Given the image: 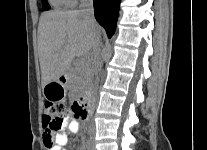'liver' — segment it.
<instances>
[{"label": "liver", "instance_id": "obj_1", "mask_svg": "<svg viewBox=\"0 0 207 150\" xmlns=\"http://www.w3.org/2000/svg\"><path fill=\"white\" fill-rule=\"evenodd\" d=\"M100 38L101 27L80 11L43 13L38 25L42 87L65 75L75 57L90 60L93 45Z\"/></svg>", "mask_w": 207, "mask_h": 150}]
</instances>
